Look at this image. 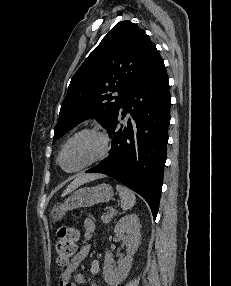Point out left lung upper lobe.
I'll use <instances>...</instances> for the list:
<instances>
[{
    "mask_svg": "<svg viewBox=\"0 0 231 286\" xmlns=\"http://www.w3.org/2000/svg\"><path fill=\"white\" fill-rule=\"evenodd\" d=\"M160 59L154 43L137 25L130 21L116 24L71 79L54 141L88 118L108 128L124 94Z\"/></svg>",
    "mask_w": 231,
    "mask_h": 286,
    "instance_id": "left-lung-upper-lobe-1",
    "label": "left lung upper lobe"
}]
</instances>
